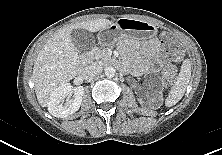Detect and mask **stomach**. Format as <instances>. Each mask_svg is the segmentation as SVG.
Segmentation results:
<instances>
[{
    "label": "stomach",
    "mask_w": 222,
    "mask_h": 155,
    "mask_svg": "<svg viewBox=\"0 0 222 155\" xmlns=\"http://www.w3.org/2000/svg\"><path fill=\"white\" fill-rule=\"evenodd\" d=\"M156 34L157 28L152 23L124 17L102 29L98 34V40L103 46H112L124 39L138 45L143 41L154 38Z\"/></svg>",
    "instance_id": "obj_1"
}]
</instances>
